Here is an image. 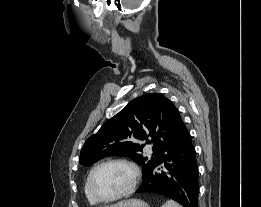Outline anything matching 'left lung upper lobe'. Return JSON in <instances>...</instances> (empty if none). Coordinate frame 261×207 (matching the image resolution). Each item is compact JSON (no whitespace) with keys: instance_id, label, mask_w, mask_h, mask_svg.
I'll return each mask as SVG.
<instances>
[{"instance_id":"obj_1","label":"left lung upper lobe","mask_w":261,"mask_h":207,"mask_svg":"<svg viewBox=\"0 0 261 207\" xmlns=\"http://www.w3.org/2000/svg\"><path fill=\"white\" fill-rule=\"evenodd\" d=\"M183 124L169 99L159 93L145 94L132 100L86 140L79 162L87 166L107 156H130L142 164L144 178L172 148ZM144 140L153 146L151 158L141 154Z\"/></svg>"}]
</instances>
